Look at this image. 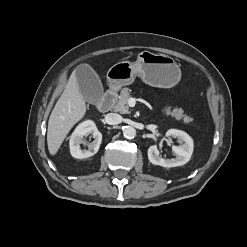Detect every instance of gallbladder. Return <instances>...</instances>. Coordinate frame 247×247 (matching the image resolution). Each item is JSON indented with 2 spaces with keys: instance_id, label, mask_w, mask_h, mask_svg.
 <instances>
[{
  "instance_id": "1",
  "label": "gallbladder",
  "mask_w": 247,
  "mask_h": 247,
  "mask_svg": "<svg viewBox=\"0 0 247 247\" xmlns=\"http://www.w3.org/2000/svg\"><path fill=\"white\" fill-rule=\"evenodd\" d=\"M75 75L79 91L84 100L90 104L97 105L104 93L98 74L90 65L81 64L76 67Z\"/></svg>"
}]
</instances>
